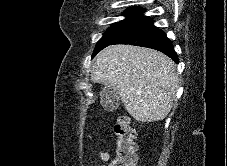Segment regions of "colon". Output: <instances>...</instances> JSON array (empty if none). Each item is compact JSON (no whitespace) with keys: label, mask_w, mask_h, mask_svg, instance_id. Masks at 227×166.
Instances as JSON below:
<instances>
[{"label":"colon","mask_w":227,"mask_h":166,"mask_svg":"<svg viewBox=\"0 0 227 166\" xmlns=\"http://www.w3.org/2000/svg\"><path fill=\"white\" fill-rule=\"evenodd\" d=\"M116 135L115 155L109 166H135V130L126 116L117 120L114 126Z\"/></svg>","instance_id":"5ec220e1"}]
</instances>
